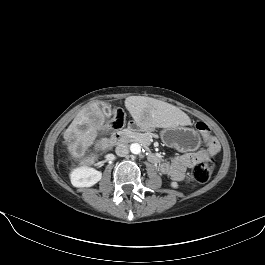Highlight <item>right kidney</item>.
I'll list each match as a JSON object with an SVG mask.
<instances>
[{
	"label": "right kidney",
	"mask_w": 265,
	"mask_h": 265,
	"mask_svg": "<svg viewBox=\"0 0 265 265\" xmlns=\"http://www.w3.org/2000/svg\"><path fill=\"white\" fill-rule=\"evenodd\" d=\"M102 178V173L93 168L82 166L76 168L70 175L71 183L74 187H91Z\"/></svg>",
	"instance_id": "obj_1"
}]
</instances>
